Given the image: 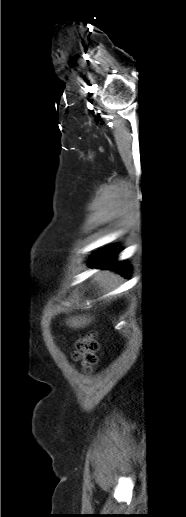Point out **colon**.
<instances>
[{
  "label": "colon",
  "instance_id": "colon-1",
  "mask_svg": "<svg viewBox=\"0 0 186 517\" xmlns=\"http://www.w3.org/2000/svg\"><path fill=\"white\" fill-rule=\"evenodd\" d=\"M98 347L96 333L89 332L77 340L73 359L80 363L85 369L90 370L97 362L96 352Z\"/></svg>",
  "mask_w": 186,
  "mask_h": 517
}]
</instances>
